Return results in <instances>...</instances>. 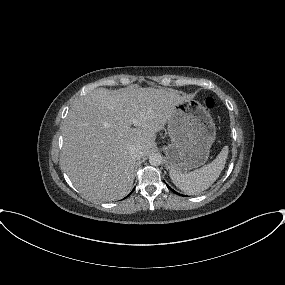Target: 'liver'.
Masks as SVG:
<instances>
[{"mask_svg": "<svg viewBox=\"0 0 285 285\" xmlns=\"http://www.w3.org/2000/svg\"><path fill=\"white\" fill-rule=\"evenodd\" d=\"M185 101L174 89H95L77 99L62 126L61 167L84 195L102 201L126 196L133 185L135 159L155 144L174 107Z\"/></svg>", "mask_w": 285, "mask_h": 285, "instance_id": "liver-1", "label": "liver"}]
</instances>
